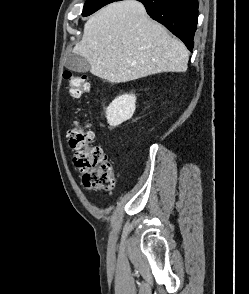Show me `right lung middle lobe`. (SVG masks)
Returning <instances> with one entry per match:
<instances>
[{"label":"right lung middle lobe","instance_id":"dd1d6c3e","mask_svg":"<svg viewBox=\"0 0 249 294\" xmlns=\"http://www.w3.org/2000/svg\"><path fill=\"white\" fill-rule=\"evenodd\" d=\"M114 1H117V0H87L83 8L82 15L89 16L90 14L94 13L101 7Z\"/></svg>","mask_w":249,"mask_h":294}]
</instances>
